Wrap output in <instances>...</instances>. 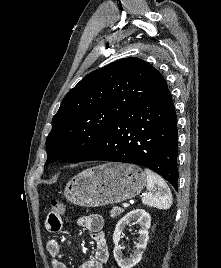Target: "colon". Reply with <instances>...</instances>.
Returning <instances> with one entry per match:
<instances>
[{
    "mask_svg": "<svg viewBox=\"0 0 221 268\" xmlns=\"http://www.w3.org/2000/svg\"><path fill=\"white\" fill-rule=\"evenodd\" d=\"M65 210V205L60 200H53L51 202V214L55 216H60Z\"/></svg>",
    "mask_w": 221,
    "mask_h": 268,
    "instance_id": "5ec220e1",
    "label": "colon"
}]
</instances>
